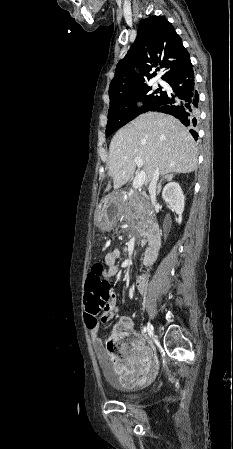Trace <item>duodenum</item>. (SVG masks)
<instances>
[{
    "mask_svg": "<svg viewBox=\"0 0 233 449\" xmlns=\"http://www.w3.org/2000/svg\"><path fill=\"white\" fill-rule=\"evenodd\" d=\"M104 208H106L108 205L104 203L102 205ZM161 248V239L160 235L158 233H155L151 236L150 239V247L146 250L144 254V262L146 264V272L149 274V270L152 268L153 264L155 263L158 253Z\"/></svg>",
    "mask_w": 233,
    "mask_h": 449,
    "instance_id": "obj_1",
    "label": "duodenum"
}]
</instances>
